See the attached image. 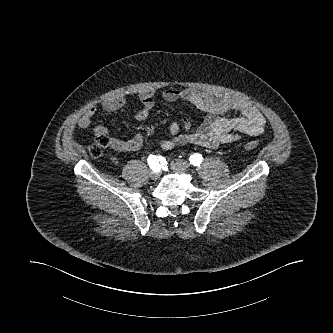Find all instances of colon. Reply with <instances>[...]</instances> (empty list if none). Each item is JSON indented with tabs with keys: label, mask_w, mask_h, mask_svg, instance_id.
Returning a JSON list of instances; mask_svg holds the SVG:
<instances>
[{
	"label": "colon",
	"mask_w": 333,
	"mask_h": 333,
	"mask_svg": "<svg viewBox=\"0 0 333 333\" xmlns=\"http://www.w3.org/2000/svg\"><path fill=\"white\" fill-rule=\"evenodd\" d=\"M108 145H109V138L106 134L95 136L94 142L89 146V153L94 158L100 157L103 149ZM257 147H258L257 142L249 141L244 144L243 149L245 152H252L256 150Z\"/></svg>",
	"instance_id": "obj_1"
}]
</instances>
